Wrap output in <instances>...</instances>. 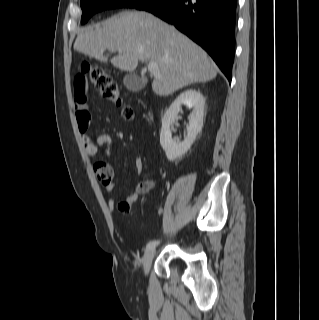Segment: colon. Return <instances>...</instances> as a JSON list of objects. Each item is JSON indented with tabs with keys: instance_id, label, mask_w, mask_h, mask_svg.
<instances>
[{
	"instance_id": "obj_1",
	"label": "colon",
	"mask_w": 319,
	"mask_h": 320,
	"mask_svg": "<svg viewBox=\"0 0 319 320\" xmlns=\"http://www.w3.org/2000/svg\"><path fill=\"white\" fill-rule=\"evenodd\" d=\"M87 76L90 79L93 87L98 93L105 99L115 102L118 105L122 104V99L118 85L114 81L109 71L103 68L95 67L89 63H83L81 66V73L74 79L75 86H82L86 84ZM122 115L125 119H131L134 116V112L131 107L124 106L122 108ZM95 172L98 173L101 170L110 171L111 167L105 162H98L94 166ZM100 181L104 180V177L99 176ZM118 208L121 211H128L130 204L127 201L120 202Z\"/></svg>"
}]
</instances>
